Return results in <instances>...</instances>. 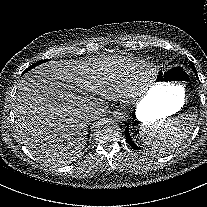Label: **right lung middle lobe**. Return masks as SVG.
<instances>
[{
    "instance_id": "dd1d6c3e",
    "label": "right lung middle lobe",
    "mask_w": 207,
    "mask_h": 207,
    "mask_svg": "<svg viewBox=\"0 0 207 207\" xmlns=\"http://www.w3.org/2000/svg\"><path fill=\"white\" fill-rule=\"evenodd\" d=\"M46 61H49V60H43V61H39V62H37V63H35V64H32L29 68H27L25 71H24V73H26V72H28L29 70H31L32 68H34V67H36V66H38V65H40V64H42V63H44V62H46ZM23 73V74H24ZM22 74V75H23Z\"/></svg>"
}]
</instances>
